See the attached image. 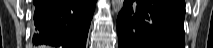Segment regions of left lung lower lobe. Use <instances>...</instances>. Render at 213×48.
Listing matches in <instances>:
<instances>
[{
  "mask_svg": "<svg viewBox=\"0 0 213 48\" xmlns=\"http://www.w3.org/2000/svg\"><path fill=\"white\" fill-rule=\"evenodd\" d=\"M184 0H125L117 18L119 48H185Z\"/></svg>",
  "mask_w": 213,
  "mask_h": 48,
  "instance_id": "obj_1",
  "label": "left lung lower lobe"
}]
</instances>
